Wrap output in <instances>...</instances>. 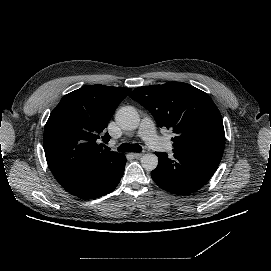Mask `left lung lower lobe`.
<instances>
[{
    "label": "left lung lower lobe",
    "instance_id": "1",
    "mask_svg": "<svg viewBox=\"0 0 271 271\" xmlns=\"http://www.w3.org/2000/svg\"><path fill=\"white\" fill-rule=\"evenodd\" d=\"M173 157L156 152L159 164L151 172L152 179L165 191L188 195L204 186L222 159V152L196 148H178Z\"/></svg>",
    "mask_w": 271,
    "mask_h": 271
}]
</instances>
